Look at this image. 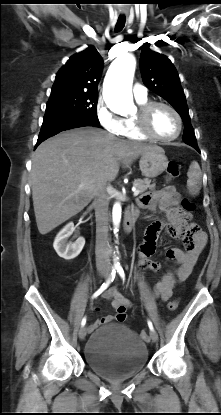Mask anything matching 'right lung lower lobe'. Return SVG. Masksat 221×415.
<instances>
[{"label":"right lung lower lobe","instance_id":"98d812e1","mask_svg":"<svg viewBox=\"0 0 221 415\" xmlns=\"http://www.w3.org/2000/svg\"><path fill=\"white\" fill-rule=\"evenodd\" d=\"M84 126L99 127L100 123L79 115L45 114L35 148L41 142L58 134L59 132Z\"/></svg>","mask_w":221,"mask_h":415}]
</instances>
